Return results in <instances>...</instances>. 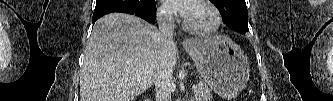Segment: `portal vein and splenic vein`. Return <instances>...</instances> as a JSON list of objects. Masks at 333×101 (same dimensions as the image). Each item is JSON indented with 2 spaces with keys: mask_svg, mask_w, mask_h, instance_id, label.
I'll return each instance as SVG.
<instances>
[{
  "mask_svg": "<svg viewBox=\"0 0 333 101\" xmlns=\"http://www.w3.org/2000/svg\"><path fill=\"white\" fill-rule=\"evenodd\" d=\"M197 86L196 85H193L192 86V90H196Z\"/></svg>",
  "mask_w": 333,
  "mask_h": 101,
  "instance_id": "1",
  "label": "portal vein and splenic vein"
}]
</instances>
